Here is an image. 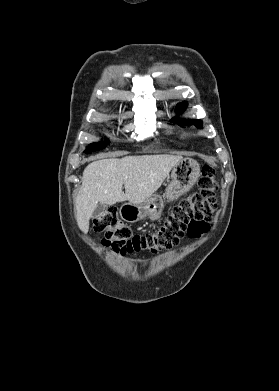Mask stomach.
I'll list each match as a JSON object with an SVG mask.
<instances>
[{
    "label": "stomach",
    "mask_w": 279,
    "mask_h": 391,
    "mask_svg": "<svg viewBox=\"0 0 279 391\" xmlns=\"http://www.w3.org/2000/svg\"><path fill=\"white\" fill-rule=\"evenodd\" d=\"M200 176L199 164L191 159L184 158L172 168L171 181L166 188L164 198L153 194L141 204L125 203L120 208V215L126 222L134 223L144 218L157 220L164 209L165 199L167 202L177 200L188 192L197 182Z\"/></svg>",
    "instance_id": "1"
}]
</instances>
